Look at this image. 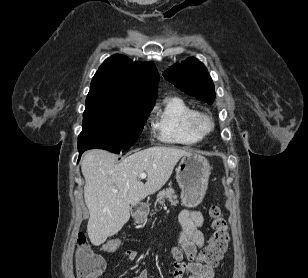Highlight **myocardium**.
Returning <instances> with one entry per match:
<instances>
[{"label": "myocardium", "instance_id": "f54148a6", "mask_svg": "<svg viewBox=\"0 0 308 278\" xmlns=\"http://www.w3.org/2000/svg\"><path fill=\"white\" fill-rule=\"evenodd\" d=\"M206 122L208 124L207 128H202L201 123ZM214 121L212 117L203 112H196L190 118V127L193 132L199 137L203 138L209 135L214 130Z\"/></svg>", "mask_w": 308, "mask_h": 278}]
</instances>
